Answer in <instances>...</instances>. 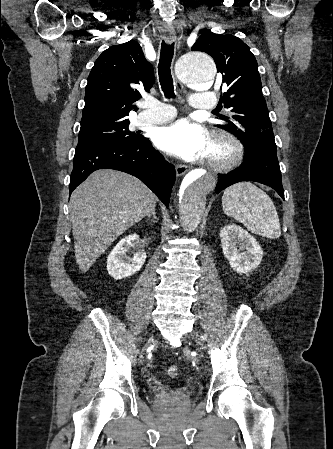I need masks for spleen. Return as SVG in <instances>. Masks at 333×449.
<instances>
[{
  "label": "spleen",
  "mask_w": 333,
  "mask_h": 449,
  "mask_svg": "<svg viewBox=\"0 0 333 449\" xmlns=\"http://www.w3.org/2000/svg\"><path fill=\"white\" fill-rule=\"evenodd\" d=\"M224 212L241 222L251 233L278 238L281 227L271 198L252 183H237L222 196Z\"/></svg>",
  "instance_id": "spleen-1"
}]
</instances>
